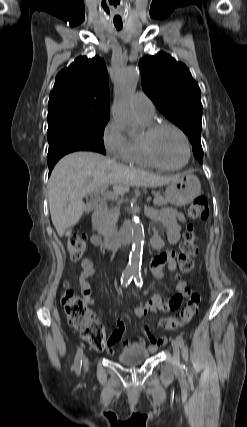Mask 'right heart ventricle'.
Masks as SVG:
<instances>
[{"label": "right heart ventricle", "instance_id": "1", "mask_svg": "<svg viewBox=\"0 0 247 427\" xmlns=\"http://www.w3.org/2000/svg\"><path fill=\"white\" fill-rule=\"evenodd\" d=\"M142 122L145 126L152 124V120H142ZM127 162L141 166H153L143 152L140 138L129 139Z\"/></svg>", "mask_w": 247, "mask_h": 427}]
</instances>
